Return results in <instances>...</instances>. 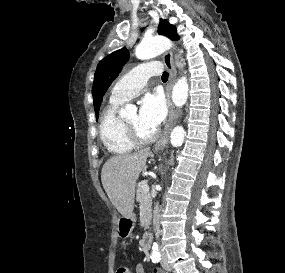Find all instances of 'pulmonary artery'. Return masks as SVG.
Listing matches in <instances>:
<instances>
[{
    "instance_id": "e3ab8cb5",
    "label": "pulmonary artery",
    "mask_w": 285,
    "mask_h": 273,
    "mask_svg": "<svg viewBox=\"0 0 285 273\" xmlns=\"http://www.w3.org/2000/svg\"><path fill=\"white\" fill-rule=\"evenodd\" d=\"M160 62H144L123 75L114 85L111 93V102H125L136 96L146 85L151 76L162 73Z\"/></svg>"
}]
</instances>
